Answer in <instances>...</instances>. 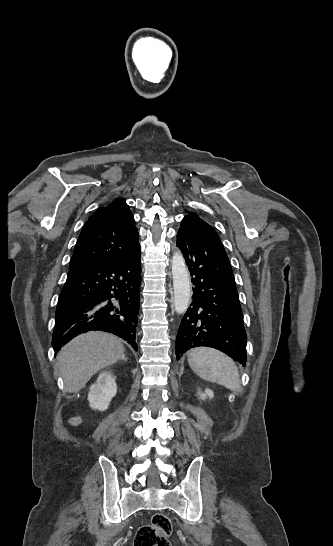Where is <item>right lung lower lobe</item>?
<instances>
[{
	"label": "right lung lower lobe",
	"instance_id": "obj_1",
	"mask_svg": "<svg viewBox=\"0 0 333 546\" xmlns=\"http://www.w3.org/2000/svg\"><path fill=\"white\" fill-rule=\"evenodd\" d=\"M140 257L139 245L118 260L69 270L56 308L54 350L81 333L101 330L123 338L137 351Z\"/></svg>",
	"mask_w": 333,
	"mask_h": 546
}]
</instances>
